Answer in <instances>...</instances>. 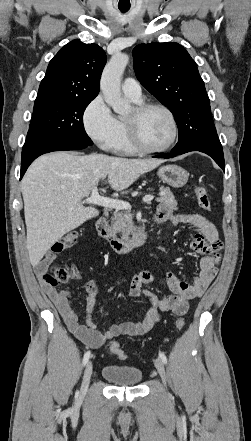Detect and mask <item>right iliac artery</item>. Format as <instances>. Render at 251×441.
<instances>
[{
	"mask_svg": "<svg viewBox=\"0 0 251 441\" xmlns=\"http://www.w3.org/2000/svg\"><path fill=\"white\" fill-rule=\"evenodd\" d=\"M90 355H91L90 351H88V352H86V353L84 354V357H83V365H84V366L87 364V362H88V360H89V358H90Z\"/></svg>",
	"mask_w": 251,
	"mask_h": 441,
	"instance_id": "82829eb1",
	"label": "right iliac artery"
}]
</instances>
